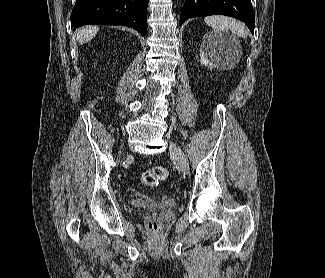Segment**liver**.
<instances>
[{"instance_id":"1","label":"liver","mask_w":325,"mask_h":278,"mask_svg":"<svg viewBox=\"0 0 325 278\" xmlns=\"http://www.w3.org/2000/svg\"><path fill=\"white\" fill-rule=\"evenodd\" d=\"M98 31H99V27H97V26L82 27V28L77 30L76 40L80 44L87 43L93 37H95V35L97 34Z\"/></svg>"}]
</instances>
